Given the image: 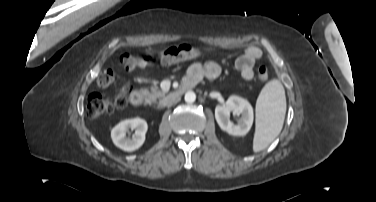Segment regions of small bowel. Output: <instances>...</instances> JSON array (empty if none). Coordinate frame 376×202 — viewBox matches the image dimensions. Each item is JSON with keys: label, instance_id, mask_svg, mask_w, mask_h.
<instances>
[{"label": "small bowel", "instance_id": "obj_1", "mask_svg": "<svg viewBox=\"0 0 376 202\" xmlns=\"http://www.w3.org/2000/svg\"><path fill=\"white\" fill-rule=\"evenodd\" d=\"M262 52L257 47H249L237 58L236 68L244 80H251L254 76V65L261 59ZM217 63L209 61L205 64L193 63L187 70L184 83L194 86L203 78L215 79L220 74Z\"/></svg>", "mask_w": 376, "mask_h": 202}]
</instances>
